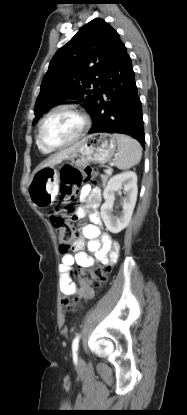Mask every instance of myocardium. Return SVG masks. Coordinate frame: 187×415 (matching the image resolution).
I'll list each match as a JSON object with an SVG mask.
<instances>
[{
	"mask_svg": "<svg viewBox=\"0 0 187 415\" xmlns=\"http://www.w3.org/2000/svg\"><path fill=\"white\" fill-rule=\"evenodd\" d=\"M61 110H68V111L74 112L76 115H78L79 118L81 119V127H80L78 133L76 134V136L73 139H71L70 141L65 142L63 144H60V145H56V146L48 145L43 141L42 135H41L43 124L51 115H53L54 113H56L58 111H61ZM89 124H90L89 118L77 106H75L73 104H60V105H57V106L53 107L52 109H50L42 117V119L39 121L38 128H37V142L43 148H45L49 151H55V150H60V149L66 148V147L71 146L74 143L78 142L83 137V135L85 134V132L89 128Z\"/></svg>",
	"mask_w": 187,
	"mask_h": 415,
	"instance_id": "myocardium-1",
	"label": "myocardium"
}]
</instances>
